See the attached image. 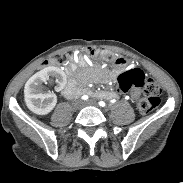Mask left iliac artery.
<instances>
[{
  "label": "left iliac artery",
  "instance_id": "obj_1",
  "mask_svg": "<svg viewBox=\"0 0 183 183\" xmlns=\"http://www.w3.org/2000/svg\"><path fill=\"white\" fill-rule=\"evenodd\" d=\"M99 105H100L101 107H105V106H106V103H105L104 101H100V102H99Z\"/></svg>",
  "mask_w": 183,
  "mask_h": 183
}]
</instances>
